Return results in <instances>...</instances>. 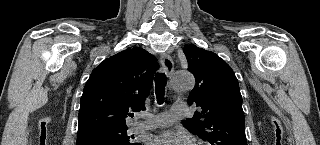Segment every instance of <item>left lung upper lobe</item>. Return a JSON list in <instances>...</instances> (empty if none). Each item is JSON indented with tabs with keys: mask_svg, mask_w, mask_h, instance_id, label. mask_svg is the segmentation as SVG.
I'll use <instances>...</instances> for the list:
<instances>
[{
	"mask_svg": "<svg viewBox=\"0 0 320 145\" xmlns=\"http://www.w3.org/2000/svg\"><path fill=\"white\" fill-rule=\"evenodd\" d=\"M196 84L189 94L195 112L183 125L211 145H247L242 96L230 66L213 52L194 44L183 49Z\"/></svg>",
	"mask_w": 320,
	"mask_h": 145,
	"instance_id": "obj_1",
	"label": "left lung upper lobe"
}]
</instances>
